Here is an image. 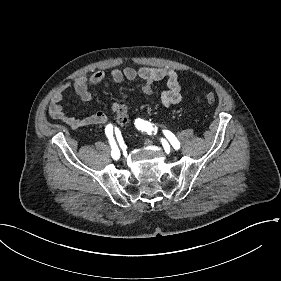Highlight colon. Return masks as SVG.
Returning <instances> with one entry per match:
<instances>
[{
    "mask_svg": "<svg viewBox=\"0 0 281 281\" xmlns=\"http://www.w3.org/2000/svg\"><path fill=\"white\" fill-rule=\"evenodd\" d=\"M205 101L208 104H214L217 101V95L214 93H208L205 96ZM130 120V113L128 112V109H119L117 113V121L118 123H127Z\"/></svg>",
    "mask_w": 281,
    "mask_h": 281,
    "instance_id": "5ec220e1",
    "label": "colon"
}]
</instances>
